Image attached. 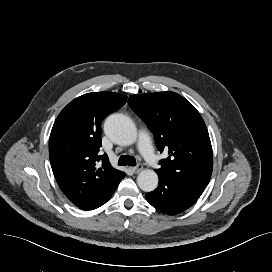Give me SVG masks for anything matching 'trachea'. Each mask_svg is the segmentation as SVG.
Returning <instances> with one entry per match:
<instances>
[{
	"label": "trachea",
	"instance_id": "3493384b",
	"mask_svg": "<svg viewBox=\"0 0 272 272\" xmlns=\"http://www.w3.org/2000/svg\"><path fill=\"white\" fill-rule=\"evenodd\" d=\"M118 165H120V166H126V165L135 166L136 165V160L132 156L122 155L119 158Z\"/></svg>",
	"mask_w": 272,
	"mask_h": 272
}]
</instances>
